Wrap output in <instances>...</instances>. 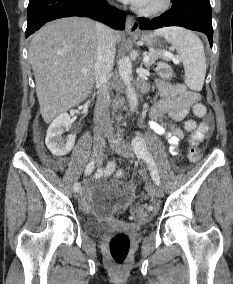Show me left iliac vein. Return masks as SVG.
Listing matches in <instances>:
<instances>
[{
    "label": "left iliac vein",
    "mask_w": 233,
    "mask_h": 284,
    "mask_svg": "<svg viewBox=\"0 0 233 284\" xmlns=\"http://www.w3.org/2000/svg\"><path fill=\"white\" fill-rule=\"evenodd\" d=\"M110 146L116 153L124 157L132 158L134 156V149L128 142H112ZM153 194L158 198L163 197L164 192L160 184L153 185Z\"/></svg>",
    "instance_id": "left-iliac-vein-1"
}]
</instances>
